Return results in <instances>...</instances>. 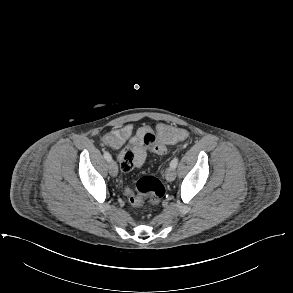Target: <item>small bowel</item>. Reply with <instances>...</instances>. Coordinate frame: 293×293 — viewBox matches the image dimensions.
<instances>
[{
    "label": "small bowel",
    "mask_w": 293,
    "mask_h": 293,
    "mask_svg": "<svg viewBox=\"0 0 293 293\" xmlns=\"http://www.w3.org/2000/svg\"><path fill=\"white\" fill-rule=\"evenodd\" d=\"M151 133L148 126L140 127L135 133L131 124L112 129L102 138V143L114 150L121 149L126 143L127 147L120 150L118 160L121 170L129 172L133 168L140 167L145 162L147 147L144 142L146 133ZM159 139L167 144L184 142L189 138L185 129L176 128L168 124L160 123L156 127Z\"/></svg>",
    "instance_id": "small-bowel-1"
}]
</instances>
